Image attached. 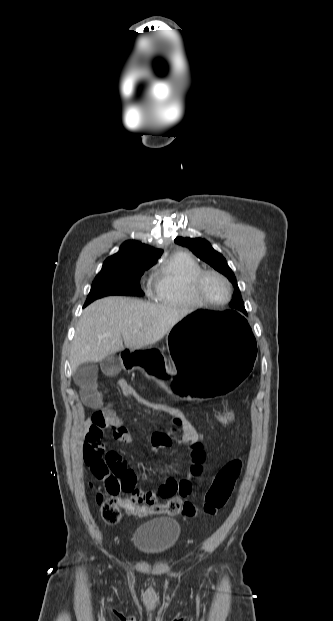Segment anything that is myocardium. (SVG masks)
I'll return each instance as SVG.
<instances>
[{
  "label": "myocardium",
  "instance_id": "1",
  "mask_svg": "<svg viewBox=\"0 0 333 621\" xmlns=\"http://www.w3.org/2000/svg\"><path fill=\"white\" fill-rule=\"evenodd\" d=\"M207 276H215L219 279H221L226 287H227V296L224 300L222 301H211L209 299H207L201 292V286H202V282L204 280L205 277ZM191 293L193 298L195 299L196 303L198 305H204V306H211V307H216V306H223L225 304H227L231 297H232V293H233V287L232 284L230 282V280L222 273L216 271V270H202L200 271L192 280L191 282Z\"/></svg>",
  "mask_w": 333,
  "mask_h": 621
}]
</instances>
